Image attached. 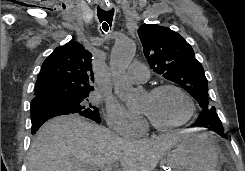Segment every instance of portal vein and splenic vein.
I'll return each instance as SVG.
<instances>
[{
	"label": "portal vein and splenic vein",
	"instance_id": "18ae733b",
	"mask_svg": "<svg viewBox=\"0 0 245 171\" xmlns=\"http://www.w3.org/2000/svg\"><path fill=\"white\" fill-rule=\"evenodd\" d=\"M94 171H98L97 169ZM103 171H112V166L111 165H107L106 167H104Z\"/></svg>",
	"mask_w": 245,
	"mask_h": 171
}]
</instances>
